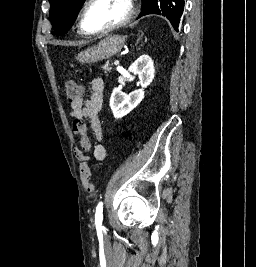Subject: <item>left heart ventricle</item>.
<instances>
[{
  "mask_svg": "<svg viewBox=\"0 0 256 267\" xmlns=\"http://www.w3.org/2000/svg\"><path fill=\"white\" fill-rule=\"evenodd\" d=\"M126 9L114 0H100L92 3L84 12V24L91 31L109 28L121 21Z\"/></svg>",
  "mask_w": 256,
  "mask_h": 267,
  "instance_id": "1",
  "label": "left heart ventricle"
}]
</instances>
